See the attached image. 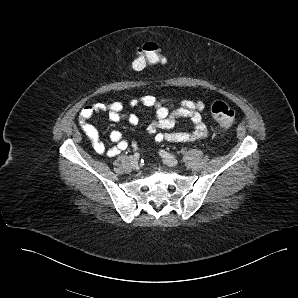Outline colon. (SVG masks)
I'll list each match as a JSON object with an SVG mask.
<instances>
[{
    "instance_id": "colon-1",
    "label": "colon",
    "mask_w": 298,
    "mask_h": 298,
    "mask_svg": "<svg viewBox=\"0 0 298 298\" xmlns=\"http://www.w3.org/2000/svg\"><path fill=\"white\" fill-rule=\"evenodd\" d=\"M162 61L163 56L159 46L155 42H147L136 51L132 66L134 70L142 71L149 65L160 64ZM210 112L222 129L229 130L234 125L235 112L226 103L214 101L210 105Z\"/></svg>"
}]
</instances>
